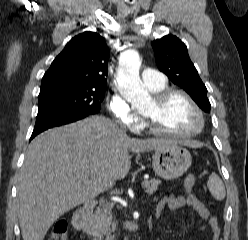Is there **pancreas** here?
Here are the masks:
<instances>
[{"label": "pancreas", "mask_w": 248, "mask_h": 240, "mask_svg": "<svg viewBox=\"0 0 248 240\" xmlns=\"http://www.w3.org/2000/svg\"><path fill=\"white\" fill-rule=\"evenodd\" d=\"M160 183L161 181L158 179L145 181V192L149 195H152L157 190V187ZM111 223L112 217L110 206L107 205L104 207H100L92 216V227L90 230V234L98 240L102 239L104 236H109Z\"/></svg>", "instance_id": "obj_1"}]
</instances>
